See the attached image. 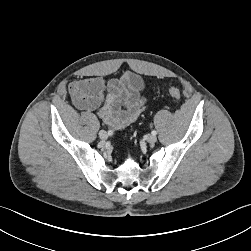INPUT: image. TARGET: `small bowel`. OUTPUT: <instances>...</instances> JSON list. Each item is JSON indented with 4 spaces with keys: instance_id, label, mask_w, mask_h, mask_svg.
Masks as SVG:
<instances>
[{
    "instance_id": "obj_1",
    "label": "small bowel",
    "mask_w": 251,
    "mask_h": 251,
    "mask_svg": "<svg viewBox=\"0 0 251 251\" xmlns=\"http://www.w3.org/2000/svg\"><path fill=\"white\" fill-rule=\"evenodd\" d=\"M143 79L127 72L108 81L100 77H86L69 84V94L76 108L96 112L113 129L129 126L146 108L142 96Z\"/></svg>"
}]
</instances>
